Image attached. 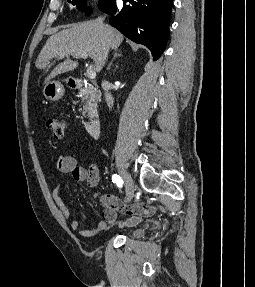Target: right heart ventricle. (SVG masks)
Masks as SVG:
<instances>
[{"label":"right heart ventricle","mask_w":255,"mask_h":287,"mask_svg":"<svg viewBox=\"0 0 255 287\" xmlns=\"http://www.w3.org/2000/svg\"><path fill=\"white\" fill-rule=\"evenodd\" d=\"M123 48H135V47H123Z\"/></svg>","instance_id":"obj_1"}]
</instances>
